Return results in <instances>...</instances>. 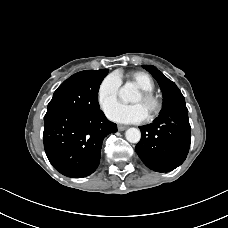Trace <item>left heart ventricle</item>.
I'll list each match as a JSON object with an SVG mask.
<instances>
[{
	"instance_id": "1",
	"label": "left heart ventricle",
	"mask_w": 228,
	"mask_h": 228,
	"mask_svg": "<svg viewBox=\"0 0 228 228\" xmlns=\"http://www.w3.org/2000/svg\"><path fill=\"white\" fill-rule=\"evenodd\" d=\"M133 103H135V104H141V105L144 107V109L146 110L147 114H148V113L150 112V110H151V104L148 103V102H146V101L142 98V96H141L140 93L134 98Z\"/></svg>"
}]
</instances>
